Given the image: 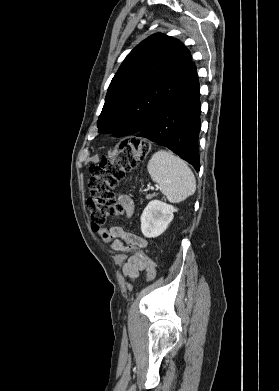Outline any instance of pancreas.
<instances>
[{
  "label": "pancreas",
  "instance_id": "pancreas-1",
  "mask_svg": "<svg viewBox=\"0 0 279 391\" xmlns=\"http://www.w3.org/2000/svg\"><path fill=\"white\" fill-rule=\"evenodd\" d=\"M154 196V194H148L147 196H146V198L147 199H150V198H152Z\"/></svg>",
  "mask_w": 279,
  "mask_h": 391
}]
</instances>
